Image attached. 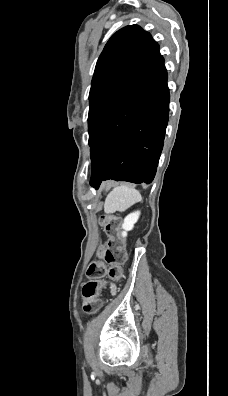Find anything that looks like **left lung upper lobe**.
<instances>
[{"label": "left lung upper lobe", "mask_w": 228, "mask_h": 396, "mask_svg": "<svg viewBox=\"0 0 228 396\" xmlns=\"http://www.w3.org/2000/svg\"><path fill=\"white\" fill-rule=\"evenodd\" d=\"M157 46L150 33L138 25L126 26L112 35L98 58L89 101V145L107 115L144 71Z\"/></svg>", "instance_id": "obj_1"}]
</instances>
